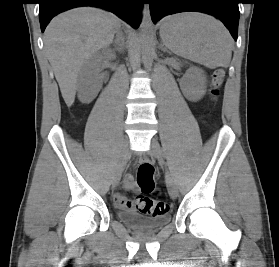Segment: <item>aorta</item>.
Returning <instances> with one entry per match:
<instances>
[{"label": "aorta", "instance_id": "1", "mask_svg": "<svg viewBox=\"0 0 279 267\" xmlns=\"http://www.w3.org/2000/svg\"><path fill=\"white\" fill-rule=\"evenodd\" d=\"M141 29V44L143 53V63L145 68L149 69L152 66L154 54V39H153V24L148 5H144L142 11Z\"/></svg>", "mask_w": 279, "mask_h": 267}]
</instances>
